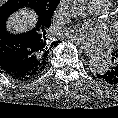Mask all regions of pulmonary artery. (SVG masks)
<instances>
[{"label": "pulmonary artery", "mask_w": 118, "mask_h": 118, "mask_svg": "<svg viewBox=\"0 0 118 118\" xmlns=\"http://www.w3.org/2000/svg\"><path fill=\"white\" fill-rule=\"evenodd\" d=\"M89 9L91 12L96 13V14L103 13L102 10L92 2L89 3Z\"/></svg>", "instance_id": "obj_1"}]
</instances>
